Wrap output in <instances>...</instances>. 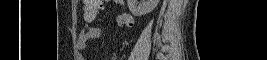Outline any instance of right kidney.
Wrapping results in <instances>:
<instances>
[{
    "mask_svg": "<svg viewBox=\"0 0 267 60\" xmlns=\"http://www.w3.org/2000/svg\"><path fill=\"white\" fill-rule=\"evenodd\" d=\"M159 0H127V6L134 16L150 13L157 6Z\"/></svg>",
    "mask_w": 267,
    "mask_h": 60,
    "instance_id": "obj_1",
    "label": "right kidney"
}]
</instances>
